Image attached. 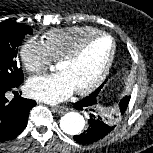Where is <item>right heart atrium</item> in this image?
Wrapping results in <instances>:
<instances>
[{
  "mask_svg": "<svg viewBox=\"0 0 153 153\" xmlns=\"http://www.w3.org/2000/svg\"><path fill=\"white\" fill-rule=\"evenodd\" d=\"M20 58L29 73H39L45 70L52 61L45 43L36 38H29L22 44Z\"/></svg>",
  "mask_w": 153,
  "mask_h": 153,
  "instance_id": "obj_1",
  "label": "right heart atrium"
}]
</instances>
